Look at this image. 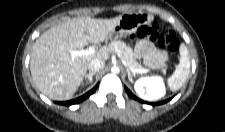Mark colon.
<instances>
[{
    "instance_id": "obj_1",
    "label": "colon",
    "mask_w": 225,
    "mask_h": 132,
    "mask_svg": "<svg viewBox=\"0 0 225 132\" xmlns=\"http://www.w3.org/2000/svg\"><path fill=\"white\" fill-rule=\"evenodd\" d=\"M136 34L146 40L157 41L162 47L172 53H175L179 48V40L176 33L172 30L159 33V26L155 22L142 25Z\"/></svg>"
}]
</instances>
